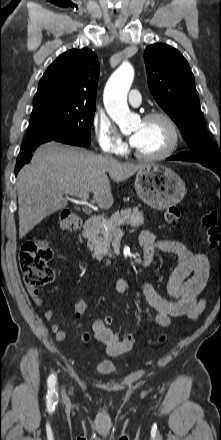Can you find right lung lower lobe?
I'll return each mask as SVG.
<instances>
[{
  "mask_svg": "<svg viewBox=\"0 0 221 440\" xmlns=\"http://www.w3.org/2000/svg\"><path fill=\"white\" fill-rule=\"evenodd\" d=\"M57 141L65 144L75 145V146H85L84 144L77 142L76 140L67 137H56V136H37L33 138H27L22 143L20 153L17 157V162L15 166V175L19 170L31 160V152L39 145L48 141Z\"/></svg>",
  "mask_w": 221,
  "mask_h": 440,
  "instance_id": "98d812e1",
  "label": "right lung lower lobe"
}]
</instances>
